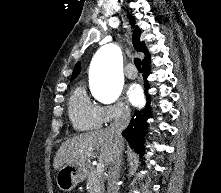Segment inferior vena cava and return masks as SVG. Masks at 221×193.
<instances>
[{
	"mask_svg": "<svg viewBox=\"0 0 221 193\" xmlns=\"http://www.w3.org/2000/svg\"><path fill=\"white\" fill-rule=\"evenodd\" d=\"M130 110L128 108H120L114 122L110 125L109 130L113 133L116 143L122 139V131L128 126L130 122ZM122 148L119 147L116 155L111 163L108 178L107 193H118V181L120 177V168L122 164Z\"/></svg>",
	"mask_w": 221,
	"mask_h": 193,
	"instance_id": "602c4592",
	"label": "inferior vena cava"
}]
</instances>
